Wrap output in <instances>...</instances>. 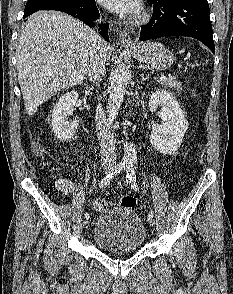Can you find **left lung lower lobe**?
Here are the masks:
<instances>
[{
  "label": "left lung lower lobe",
  "mask_w": 233,
  "mask_h": 294,
  "mask_svg": "<svg viewBox=\"0 0 233 294\" xmlns=\"http://www.w3.org/2000/svg\"><path fill=\"white\" fill-rule=\"evenodd\" d=\"M153 16L141 27L140 41L163 36H188L204 43L213 53L215 46L207 0H153Z\"/></svg>",
  "instance_id": "left-lung-lower-lobe-1"
}]
</instances>
